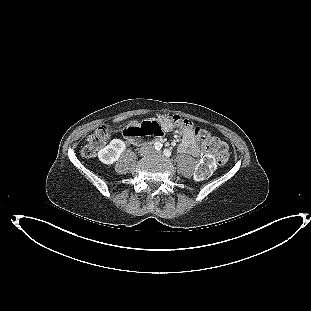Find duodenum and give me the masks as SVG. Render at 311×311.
Here are the masks:
<instances>
[{
  "label": "duodenum",
  "mask_w": 311,
  "mask_h": 311,
  "mask_svg": "<svg viewBox=\"0 0 311 311\" xmlns=\"http://www.w3.org/2000/svg\"><path fill=\"white\" fill-rule=\"evenodd\" d=\"M127 139L132 143H139L141 141V136L138 133H127Z\"/></svg>",
  "instance_id": "obj_1"
}]
</instances>
